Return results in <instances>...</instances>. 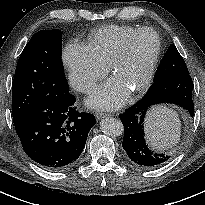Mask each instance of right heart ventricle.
<instances>
[{
    "instance_id": "right-heart-ventricle-1",
    "label": "right heart ventricle",
    "mask_w": 205,
    "mask_h": 205,
    "mask_svg": "<svg viewBox=\"0 0 205 205\" xmlns=\"http://www.w3.org/2000/svg\"><path fill=\"white\" fill-rule=\"evenodd\" d=\"M138 29L131 26L107 25L92 34L88 48L100 63L109 66L126 37Z\"/></svg>"
}]
</instances>
